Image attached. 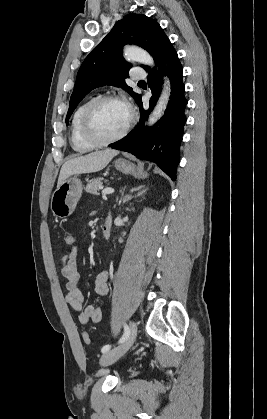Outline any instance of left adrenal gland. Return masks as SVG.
Returning <instances> with one entry per match:
<instances>
[{
	"label": "left adrenal gland",
	"mask_w": 267,
	"mask_h": 419,
	"mask_svg": "<svg viewBox=\"0 0 267 419\" xmlns=\"http://www.w3.org/2000/svg\"><path fill=\"white\" fill-rule=\"evenodd\" d=\"M144 188H145V186H139L137 188L132 189L130 192L133 193L134 191H139L136 195V197H138V196H141L144 192H146L147 188L146 189H144ZM141 189H143V190H141ZM129 198H130V196L127 195L126 199L128 200Z\"/></svg>",
	"instance_id": "obj_1"
}]
</instances>
